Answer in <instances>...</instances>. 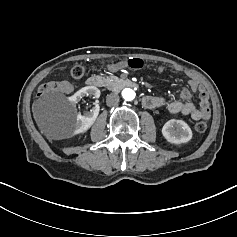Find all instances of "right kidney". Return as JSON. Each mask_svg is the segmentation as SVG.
<instances>
[{"mask_svg": "<svg viewBox=\"0 0 237 237\" xmlns=\"http://www.w3.org/2000/svg\"><path fill=\"white\" fill-rule=\"evenodd\" d=\"M84 96L98 98L100 96V91L94 86L85 87L69 97V101L73 104H77ZM98 114L99 105H96L92 110L85 112L84 115L77 114L73 135L87 132L96 122Z\"/></svg>", "mask_w": 237, "mask_h": 237, "instance_id": "right-kidney-1", "label": "right kidney"}]
</instances>
